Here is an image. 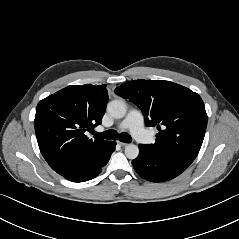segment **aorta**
Wrapping results in <instances>:
<instances>
[{"label":"aorta","mask_w":239,"mask_h":239,"mask_svg":"<svg viewBox=\"0 0 239 239\" xmlns=\"http://www.w3.org/2000/svg\"><path fill=\"white\" fill-rule=\"evenodd\" d=\"M107 111L113 118H123L126 114V104L120 100H113L108 103ZM125 155L128 159H135L139 155V148L137 145L128 144L125 148Z\"/></svg>","instance_id":"1"}]
</instances>
